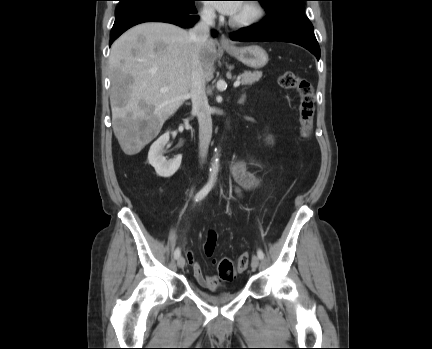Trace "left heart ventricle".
Wrapping results in <instances>:
<instances>
[{
	"label": "left heart ventricle",
	"mask_w": 432,
	"mask_h": 349,
	"mask_svg": "<svg viewBox=\"0 0 432 349\" xmlns=\"http://www.w3.org/2000/svg\"><path fill=\"white\" fill-rule=\"evenodd\" d=\"M252 14V9L247 4H241L238 11L233 15L236 18H245Z\"/></svg>",
	"instance_id": "b2bd125f"
}]
</instances>
